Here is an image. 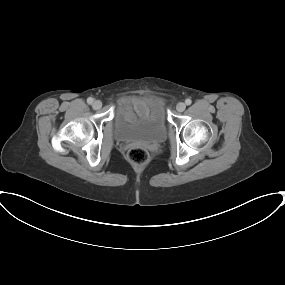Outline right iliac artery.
I'll list each match as a JSON object with an SVG mask.
<instances>
[{
	"mask_svg": "<svg viewBox=\"0 0 285 285\" xmlns=\"http://www.w3.org/2000/svg\"><path fill=\"white\" fill-rule=\"evenodd\" d=\"M93 101H94V100H93V98H92V97H89V98L87 99V103H88V104H92V103H93Z\"/></svg>",
	"mask_w": 285,
	"mask_h": 285,
	"instance_id": "1",
	"label": "right iliac artery"
}]
</instances>
